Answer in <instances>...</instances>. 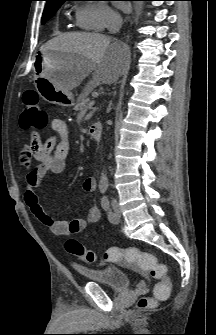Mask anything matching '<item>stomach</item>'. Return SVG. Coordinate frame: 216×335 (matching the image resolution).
Wrapping results in <instances>:
<instances>
[{
  "label": "stomach",
  "mask_w": 216,
  "mask_h": 335,
  "mask_svg": "<svg viewBox=\"0 0 216 335\" xmlns=\"http://www.w3.org/2000/svg\"><path fill=\"white\" fill-rule=\"evenodd\" d=\"M71 61L70 54L56 51L41 52L36 57L34 84L45 101L62 107H71L75 104L73 93L60 89L54 81L57 75L62 74L70 66Z\"/></svg>",
  "instance_id": "stomach-1"
}]
</instances>
